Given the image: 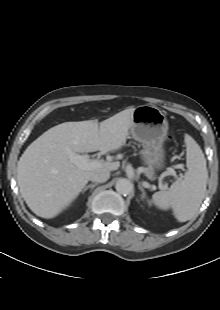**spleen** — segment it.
Masks as SVG:
<instances>
[{"mask_svg":"<svg viewBox=\"0 0 220 310\" xmlns=\"http://www.w3.org/2000/svg\"><path fill=\"white\" fill-rule=\"evenodd\" d=\"M187 172L183 179L174 182L168 191L156 192L152 203L159 209H172L179 222L190 220L198 211L206 192L208 171L199 145L185 136Z\"/></svg>","mask_w":220,"mask_h":310,"instance_id":"spleen-1","label":"spleen"}]
</instances>
